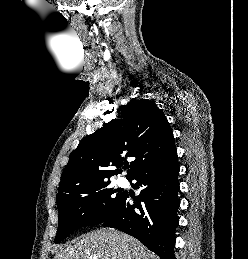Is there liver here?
I'll return each mask as SVG.
<instances>
[{
  "mask_svg": "<svg viewBox=\"0 0 248 259\" xmlns=\"http://www.w3.org/2000/svg\"><path fill=\"white\" fill-rule=\"evenodd\" d=\"M157 259L138 240L113 229L92 231L73 245L61 249L53 259Z\"/></svg>",
  "mask_w": 248,
  "mask_h": 259,
  "instance_id": "6515ba94",
  "label": "liver"
}]
</instances>
